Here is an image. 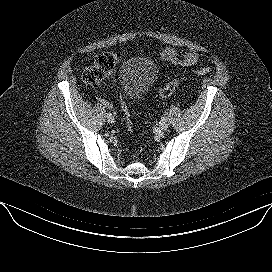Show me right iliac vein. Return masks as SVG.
<instances>
[{
  "mask_svg": "<svg viewBox=\"0 0 272 272\" xmlns=\"http://www.w3.org/2000/svg\"><path fill=\"white\" fill-rule=\"evenodd\" d=\"M107 121L109 123H113L114 122V117L113 116L112 117H107Z\"/></svg>",
  "mask_w": 272,
  "mask_h": 272,
  "instance_id": "obj_1",
  "label": "right iliac vein"
}]
</instances>
